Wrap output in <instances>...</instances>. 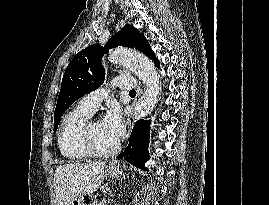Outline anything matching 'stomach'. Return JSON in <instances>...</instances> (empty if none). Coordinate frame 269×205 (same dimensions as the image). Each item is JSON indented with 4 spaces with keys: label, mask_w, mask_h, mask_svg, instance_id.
Returning a JSON list of instances; mask_svg holds the SVG:
<instances>
[{
    "label": "stomach",
    "mask_w": 269,
    "mask_h": 205,
    "mask_svg": "<svg viewBox=\"0 0 269 205\" xmlns=\"http://www.w3.org/2000/svg\"><path fill=\"white\" fill-rule=\"evenodd\" d=\"M106 175L110 178H117L120 174V169L116 164L112 163L106 167ZM95 199L91 194H83L78 196L71 205H96Z\"/></svg>",
    "instance_id": "1"
}]
</instances>
